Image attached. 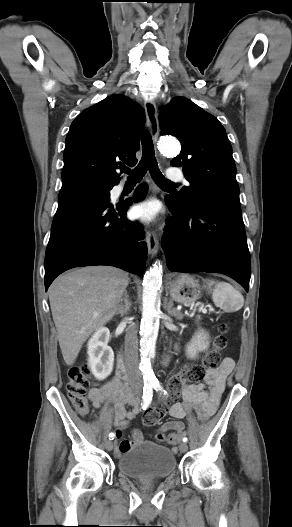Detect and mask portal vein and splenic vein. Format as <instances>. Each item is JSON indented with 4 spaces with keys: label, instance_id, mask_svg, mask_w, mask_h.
<instances>
[{
    "label": "portal vein and splenic vein",
    "instance_id": "portal-vein-and-splenic-vein-1",
    "mask_svg": "<svg viewBox=\"0 0 292 527\" xmlns=\"http://www.w3.org/2000/svg\"><path fill=\"white\" fill-rule=\"evenodd\" d=\"M200 310H201L203 313H207V309H205V308H201Z\"/></svg>",
    "mask_w": 292,
    "mask_h": 527
}]
</instances>
